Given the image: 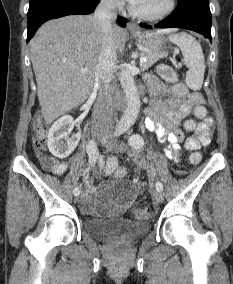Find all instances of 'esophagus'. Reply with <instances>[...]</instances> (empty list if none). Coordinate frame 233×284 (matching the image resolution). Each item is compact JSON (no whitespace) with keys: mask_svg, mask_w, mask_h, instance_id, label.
Instances as JSON below:
<instances>
[{"mask_svg":"<svg viewBox=\"0 0 233 284\" xmlns=\"http://www.w3.org/2000/svg\"><path fill=\"white\" fill-rule=\"evenodd\" d=\"M127 28H128V30H129L130 32H136V31H138L137 25H136L135 23H132V22H129V23L127 24Z\"/></svg>","mask_w":233,"mask_h":284,"instance_id":"1","label":"esophagus"}]
</instances>
